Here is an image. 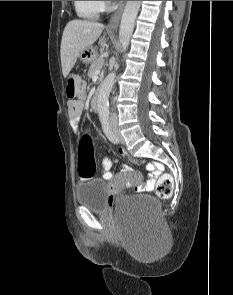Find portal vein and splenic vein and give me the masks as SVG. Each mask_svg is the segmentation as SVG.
I'll return each mask as SVG.
<instances>
[{
    "instance_id": "1",
    "label": "portal vein and splenic vein",
    "mask_w": 233,
    "mask_h": 295,
    "mask_svg": "<svg viewBox=\"0 0 233 295\" xmlns=\"http://www.w3.org/2000/svg\"><path fill=\"white\" fill-rule=\"evenodd\" d=\"M100 69H101V68H99L98 70H96V72H95L96 75H99V74H100Z\"/></svg>"
}]
</instances>
